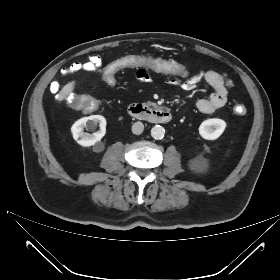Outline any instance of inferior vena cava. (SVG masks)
<instances>
[{
  "label": "inferior vena cava",
  "mask_w": 280,
  "mask_h": 280,
  "mask_svg": "<svg viewBox=\"0 0 280 280\" xmlns=\"http://www.w3.org/2000/svg\"><path fill=\"white\" fill-rule=\"evenodd\" d=\"M144 130V125L142 122L138 121L132 125L133 134L140 135Z\"/></svg>",
  "instance_id": "inferior-vena-cava-1"
}]
</instances>
